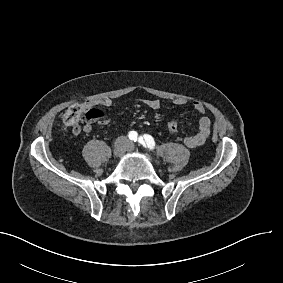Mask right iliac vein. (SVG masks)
I'll use <instances>...</instances> for the list:
<instances>
[{
	"mask_svg": "<svg viewBox=\"0 0 283 283\" xmlns=\"http://www.w3.org/2000/svg\"><path fill=\"white\" fill-rule=\"evenodd\" d=\"M127 142L125 141H118L115 143V146H114V155L116 157H121L125 151L127 150Z\"/></svg>",
	"mask_w": 283,
	"mask_h": 283,
	"instance_id": "obj_1",
	"label": "right iliac vein"
}]
</instances>
